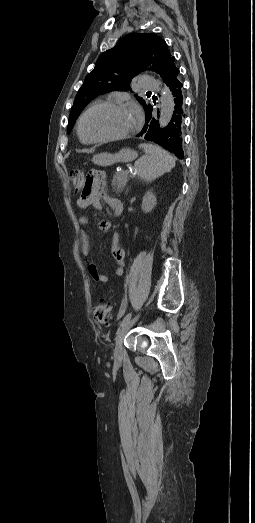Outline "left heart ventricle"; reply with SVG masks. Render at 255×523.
Segmentation results:
<instances>
[{
	"instance_id": "1",
	"label": "left heart ventricle",
	"mask_w": 255,
	"mask_h": 523,
	"mask_svg": "<svg viewBox=\"0 0 255 523\" xmlns=\"http://www.w3.org/2000/svg\"><path fill=\"white\" fill-rule=\"evenodd\" d=\"M137 118L135 108L129 105L96 107L83 121V134L89 139L118 136L132 130Z\"/></svg>"
}]
</instances>
